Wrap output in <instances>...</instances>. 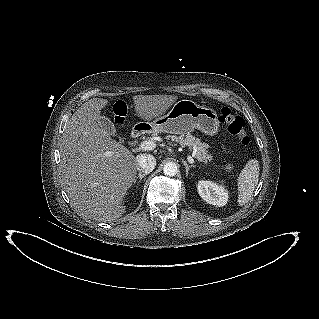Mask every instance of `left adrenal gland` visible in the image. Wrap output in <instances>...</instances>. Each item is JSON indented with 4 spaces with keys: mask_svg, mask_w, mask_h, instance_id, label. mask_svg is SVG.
I'll use <instances>...</instances> for the list:
<instances>
[{
    "mask_svg": "<svg viewBox=\"0 0 319 319\" xmlns=\"http://www.w3.org/2000/svg\"><path fill=\"white\" fill-rule=\"evenodd\" d=\"M182 162H183V164L185 166L186 177H188L190 168H194L195 166L194 165H189L186 161H182Z\"/></svg>",
    "mask_w": 319,
    "mask_h": 319,
    "instance_id": "1",
    "label": "left adrenal gland"
}]
</instances>
